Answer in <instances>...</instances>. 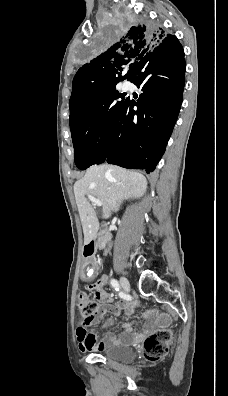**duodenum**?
Instances as JSON below:
<instances>
[{
  "mask_svg": "<svg viewBox=\"0 0 228 396\" xmlns=\"http://www.w3.org/2000/svg\"><path fill=\"white\" fill-rule=\"evenodd\" d=\"M109 240L110 234L107 231H101L96 236L88 239L84 246V252L91 256L97 249H105Z\"/></svg>",
  "mask_w": 228,
  "mask_h": 396,
  "instance_id": "obj_1",
  "label": "duodenum"
}]
</instances>
